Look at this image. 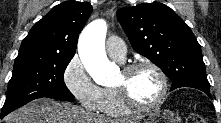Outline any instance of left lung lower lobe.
<instances>
[{
	"label": "left lung lower lobe",
	"mask_w": 221,
	"mask_h": 123,
	"mask_svg": "<svg viewBox=\"0 0 221 123\" xmlns=\"http://www.w3.org/2000/svg\"><path fill=\"white\" fill-rule=\"evenodd\" d=\"M202 91L205 92L212 99L211 94H210V90H202Z\"/></svg>",
	"instance_id": "left-lung-lower-lobe-1"
}]
</instances>
